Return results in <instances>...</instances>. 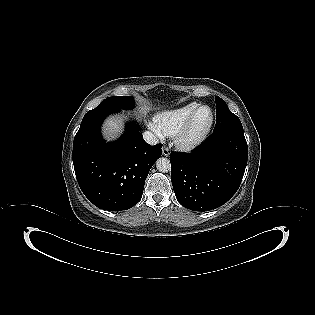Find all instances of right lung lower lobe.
<instances>
[{"instance_id": "1", "label": "right lung lower lobe", "mask_w": 315, "mask_h": 315, "mask_svg": "<svg viewBox=\"0 0 315 315\" xmlns=\"http://www.w3.org/2000/svg\"><path fill=\"white\" fill-rule=\"evenodd\" d=\"M118 111L116 106L88 111L73 143L74 170L82 192L95 206L109 211L126 210L140 201L149 170L162 154V144L148 145L135 123H127L117 141L106 143L100 126Z\"/></svg>"}]
</instances>
